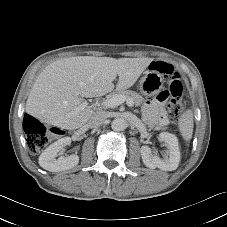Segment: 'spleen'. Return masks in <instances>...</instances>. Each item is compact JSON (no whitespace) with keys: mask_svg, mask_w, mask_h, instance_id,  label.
I'll list each match as a JSON object with an SVG mask.
<instances>
[{"mask_svg":"<svg viewBox=\"0 0 227 227\" xmlns=\"http://www.w3.org/2000/svg\"><path fill=\"white\" fill-rule=\"evenodd\" d=\"M193 126V112L192 110L188 109L180 116L178 120L179 131L184 140L189 141L192 138Z\"/></svg>","mask_w":227,"mask_h":227,"instance_id":"3e777b00","label":"spleen"}]
</instances>
